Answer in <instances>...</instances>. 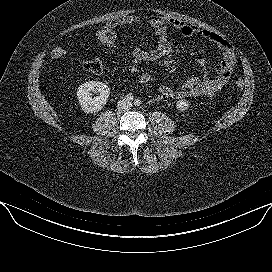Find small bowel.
Segmentation results:
<instances>
[{
	"label": "small bowel",
	"mask_w": 272,
	"mask_h": 272,
	"mask_svg": "<svg viewBox=\"0 0 272 272\" xmlns=\"http://www.w3.org/2000/svg\"><path fill=\"white\" fill-rule=\"evenodd\" d=\"M147 24L153 30L155 44L152 47L145 48L138 46L133 51L136 60L142 62H152L163 57L170 56L173 53V47L168 39V30L173 28L184 37L200 35L205 40L214 44L222 54L219 69L215 75L211 74L208 61L203 56L196 57V63L204 71L202 77H190L181 86L172 87L168 84H161L159 92L167 97L174 99L213 97L228 82L236 64V56L232 45L221 35L208 29L197 27L178 19L151 16L141 18L134 15H126L106 23L104 30L117 35L120 27L135 25L141 26Z\"/></svg>",
	"instance_id": "obj_1"
}]
</instances>
